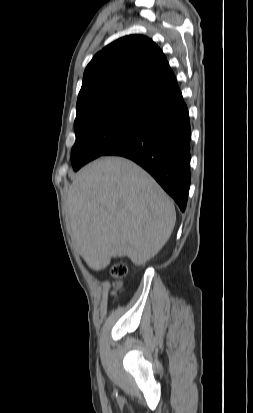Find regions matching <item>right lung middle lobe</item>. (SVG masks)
<instances>
[{"label":"right lung middle lobe","mask_w":253,"mask_h":413,"mask_svg":"<svg viewBox=\"0 0 253 413\" xmlns=\"http://www.w3.org/2000/svg\"><path fill=\"white\" fill-rule=\"evenodd\" d=\"M151 117L152 114L139 109L112 107L76 118V142L71 154L73 169L77 171L137 133L147 125Z\"/></svg>","instance_id":"dd1d6c3e"}]
</instances>
